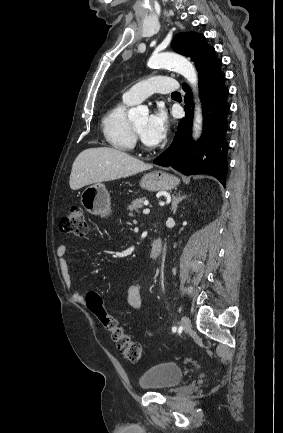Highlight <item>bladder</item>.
Here are the masks:
<instances>
[{
    "label": "bladder",
    "mask_w": 283,
    "mask_h": 433,
    "mask_svg": "<svg viewBox=\"0 0 283 433\" xmlns=\"http://www.w3.org/2000/svg\"><path fill=\"white\" fill-rule=\"evenodd\" d=\"M183 370L173 362H162L146 370L139 377V385L144 389H166L175 387L182 381Z\"/></svg>",
    "instance_id": "bladder-1"
}]
</instances>
